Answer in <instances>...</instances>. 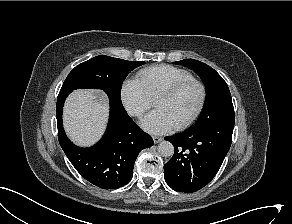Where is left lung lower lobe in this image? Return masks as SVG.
Masks as SVG:
<instances>
[{"instance_id": "0a47b994", "label": "left lung lower lobe", "mask_w": 292, "mask_h": 224, "mask_svg": "<svg viewBox=\"0 0 292 224\" xmlns=\"http://www.w3.org/2000/svg\"><path fill=\"white\" fill-rule=\"evenodd\" d=\"M233 128L234 118H226L198 130L165 137L175 146L173 157L164 165L166 183L185 193L207 185L230 148Z\"/></svg>"}]
</instances>
